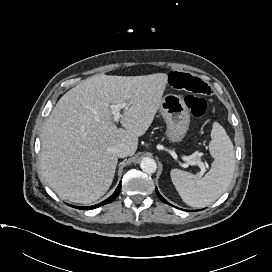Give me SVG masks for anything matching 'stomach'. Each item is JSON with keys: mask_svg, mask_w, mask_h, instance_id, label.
I'll return each mask as SVG.
<instances>
[{"mask_svg": "<svg viewBox=\"0 0 272 272\" xmlns=\"http://www.w3.org/2000/svg\"><path fill=\"white\" fill-rule=\"evenodd\" d=\"M160 113L167 124L166 135L171 142H180L186 135L190 124L189 109L183 98L167 94L162 98Z\"/></svg>", "mask_w": 272, "mask_h": 272, "instance_id": "obj_1", "label": "stomach"}]
</instances>
